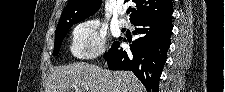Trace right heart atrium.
I'll return each mask as SVG.
<instances>
[{
    "label": "right heart atrium",
    "instance_id": "obj_1",
    "mask_svg": "<svg viewBox=\"0 0 225 92\" xmlns=\"http://www.w3.org/2000/svg\"><path fill=\"white\" fill-rule=\"evenodd\" d=\"M106 31L100 23L89 19L77 24L71 32V51L74 57L86 61L105 49Z\"/></svg>",
    "mask_w": 225,
    "mask_h": 92
}]
</instances>
